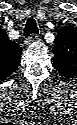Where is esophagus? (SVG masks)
<instances>
[{
	"label": "esophagus",
	"instance_id": "34e87169",
	"mask_svg": "<svg viewBox=\"0 0 77 125\" xmlns=\"http://www.w3.org/2000/svg\"><path fill=\"white\" fill-rule=\"evenodd\" d=\"M38 39V35L37 34H32L30 35L25 41L24 44L25 45H29L31 42H34L35 40Z\"/></svg>",
	"mask_w": 77,
	"mask_h": 125
}]
</instances>
